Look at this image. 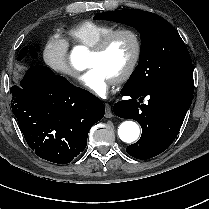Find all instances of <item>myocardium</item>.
<instances>
[{
	"label": "myocardium",
	"mask_w": 209,
	"mask_h": 209,
	"mask_svg": "<svg viewBox=\"0 0 209 209\" xmlns=\"http://www.w3.org/2000/svg\"><path fill=\"white\" fill-rule=\"evenodd\" d=\"M119 35H128L134 42L133 56L124 69V71L116 79V83L121 84L127 81L135 71L143 51V42L140 34L132 28H116L105 35L100 41L90 48L91 53L102 55L109 48L112 41Z\"/></svg>",
	"instance_id": "1"
}]
</instances>
